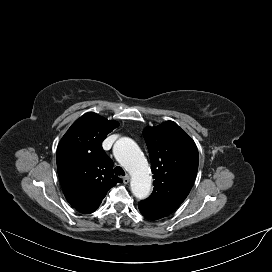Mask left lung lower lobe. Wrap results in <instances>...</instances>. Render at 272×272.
<instances>
[{"label":"left lung lower lobe","instance_id":"1","mask_svg":"<svg viewBox=\"0 0 272 272\" xmlns=\"http://www.w3.org/2000/svg\"><path fill=\"white\" fill-rule=\"evenodd\" d=\"M139 210H140L141 214H142L144 217H146V218H148V219H150V220H157V219H160V218L156 217L155 215H153V214H151V213L145 211V210L142 209V208H139Z\"/></svg>","mask_w":272,"mask_h":272}]
</instances>
